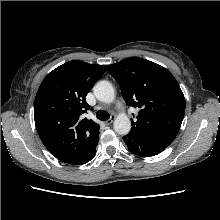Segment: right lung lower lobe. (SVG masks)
<instances>
[{
  "instance_id": "98d812e1",
  "label": "right lung lower lobe",
  "mask_w": 220,
  "mask_h": 220,
  "mask_svg": "<svg viewBox=\"0 0 220 220\" xmlns=\"http://www.w3.org/2000/svg\"><path fill=\"white\" fill-rule=\"evenodd\" d=\"M98 142L96 143V145L91 149L89 150L85 155H83L80 159H78L77 161H75L74 165H82V164H85L87 162H89L96 154V146H97Z\"/></svg>"
}]
</instances>
